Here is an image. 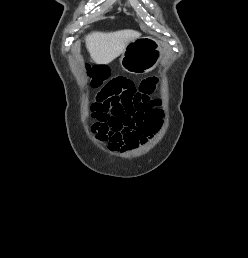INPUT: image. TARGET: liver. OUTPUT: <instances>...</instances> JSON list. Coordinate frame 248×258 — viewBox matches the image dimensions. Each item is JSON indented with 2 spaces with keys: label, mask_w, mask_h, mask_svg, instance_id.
I'll return each mask as SVG.
<instances>
[{
  "label": "liver",
  "mask_w": 248,
  "mask_h": 258,
  "mask_svg": "<svg viewBox=\"0 0 248 258\" xmlns=\"http://www.w3.org/2000/svg\"><path fill=\"white\" fill-rule=\"evenodd\" d=\"M140 36L141 33L134 30L93 32L86 36L85 41L91 59L97 64H108L122 54L131 41ZM75 48L79 51V42L75 43Z\"/></svg>",
  "instance_id": "1"
}]
</instances>
